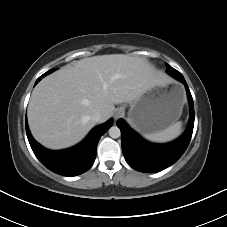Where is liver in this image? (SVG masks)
Instances as JSON below:
<instances>
[{"instance_id": "6515ba94", "label": "liver", "mask_w": 227, "mask_h": 227, "mask_svg": "<svg viewBox=\"0 0 227 227\" xmlns=\"http://www.w3.org/2000/svg\"><path fill=\"white\" fill-rule=\"evenodd\" d=\"M166 82L145 59L124 54L84 58L43 78L28 105L33 137L50 149L80 142L94 127L93 113L107 121L114 105L132 103L144 92Z\"/></svg>"}]
</instances>
